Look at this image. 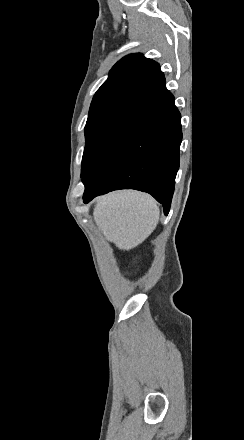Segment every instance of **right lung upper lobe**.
Listing matches in <instances>:
<instances>
[{
  "mask_svg": "<svg viewBox=\"0 0 244 440\" xmlns=\"http://www.w3.org/2000/svg\"><path fill=\"white\" fill-rule=\"evenodd\" d=\"M165 84L160 66L142 54H130L117 62L92 102L121 96L143 98Z\"/></svg>",
  "mask_w": 244,
  "mask_h": 440,
  "instance_id": "1",
  "label": "right lung upper lobe"
}]
</instances>
